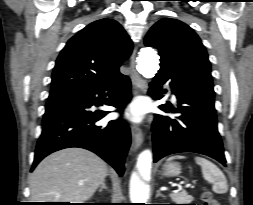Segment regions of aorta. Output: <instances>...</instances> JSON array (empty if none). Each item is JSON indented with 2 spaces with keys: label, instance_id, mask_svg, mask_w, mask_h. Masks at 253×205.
I'll list each match as a JSON object with an SVG mask.
<instances>
[{
  "label": "aorta",
  "instance_id": "obj_1",
  "mask_svg": "<svg viewBox=\"0 0 253 205\" xmlns=\"http://www.w3.org/2000/svg\"><path fill=\"white\" fill-rule=\"evenodd\" d=\"M159 56L151 47L141 49L138 57V71L145 78H152L159 69ZM151 157L149 151L145 152ZM149 198V186L137 173H133L130 179V200L133 204L146 203Z\"/></svg>",
  "mask_w": 253,
  "mask_h": 205
}]
</instances>
